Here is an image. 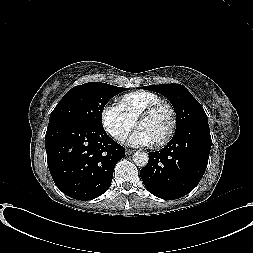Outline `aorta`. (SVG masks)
I'll return each instance as SVG.
<instances>
[{
    "instance_id": "1",
    "label": "aorta",
    "mask_w": 253,
    "mask_h": 253,
    "mask_svg": "<svg viewBox=\"0 0 253 253\" xmlns=\"http://www.w3.org/2000/svg\"><path fill=\"white\" fill-rule=\"evenodd\" d=\"M134 163L137 166L144 167L147 165L149 157L148 154L145 152H135L132 156Z\"/></svg>"
}]
</instances>
